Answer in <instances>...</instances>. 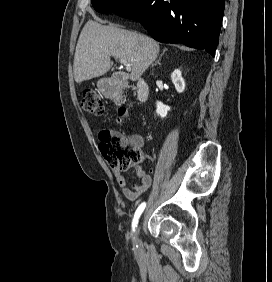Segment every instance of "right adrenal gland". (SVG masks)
Returning a JSON list of instances; mask_svg holds the SVG:
<instances>
[{"label":"right adrenal gland","mask_w":272,"mask_h":282,"mask_svg":"<svg viewBox=\"0 0 272 282\" xmlns=\"http://www.w3.org/2000/svg\"><path fill=\"white\" fill-rule=\"evenodd\" d=\"M166 51H167L166 48L163 49L161 55L159 56V58L157 59V61L152 65V67L161 61V58H162V56L164 55V53H165Z\"/></svg>","instance_id":"right-adrenal-gland-1"}]
</instances>
